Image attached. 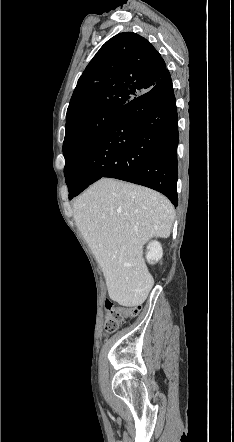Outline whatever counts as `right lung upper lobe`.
I'll use <instances>...</instances> for the list:
<instances>
[{
    "label": "right lung upper lobe",
    "mask_w": 234,
    "mask_h": 442,
    "mask_svg": "<svg viewBox=\"0 0 234 442\" xmlns=\"http://www.w3.org/2000/svg\"><path fill=\"white\" fill-rule=\"evenodd\" d=\"M152 44L132 32L108 40L78 80L66 115V124L93 112L121 108L150 90L166 71Z\"/></svg>",
    "instance_id": "obj_1"
}]
</instances>
